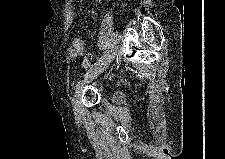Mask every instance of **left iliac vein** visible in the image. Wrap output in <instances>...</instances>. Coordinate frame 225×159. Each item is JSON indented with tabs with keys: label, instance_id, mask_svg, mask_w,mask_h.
<instances>
[{
	"label": "left iliac vein",
	"instance_id": "obj_1",
	"mask_svg": "<svg viewBox=\"0 0 225 159\" xmlns=\"http://www.w3.org/2000/svg\"><path fill=\"white\" fill-rule=\"evenodd\" d=\"M117 54H118V47L115 46L110 50V52L103 59V61L95 69L90 71L81 82L78 83L75 94L72 98V106L76 117L79 118L81 116L80 99L84 87L89 83H91L101 73H103L108 68V66L113 61V59L116 57Z\"/></svg>",
	"mask_w": 225,
	"mask_h": 159
}]
</instances>
